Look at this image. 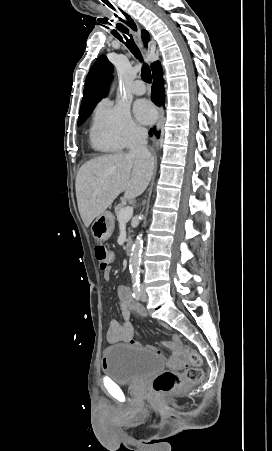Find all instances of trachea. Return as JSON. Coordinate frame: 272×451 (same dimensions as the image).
Here are the masks:
<instances>
[{"mask_svg": "<svg viewBox=\"0 0 272 451\" xmlns=\"http://www.w3.org/2000/svg\"><path fill=\"white\" fill-rule=\"evenodd\" d=\"M129 19L130 25H134L133 21L130 17H127ZM121 21H124L120 19ZM124 23H126L124 21ZM117 28L121 31V33H118L117 31L114 32V36L118 38L121 42L125 43V45L129 48V50L133 53V55L138 59L142 61V55L140 53V50L135 45V42L133 40L132 35H129L128 28L124 27L122 24H118ZM123 38H125V42L123 41ZM141 78L144 80V82L151 83L152 77L149 66L145 63L142 67L141 71Z\"/></svg>", "mask_w": 272, "mask_h": 451, "instance_id": "trachea-1", "label": "trachea"}]
</instances>
